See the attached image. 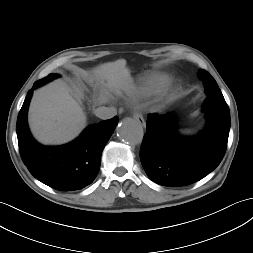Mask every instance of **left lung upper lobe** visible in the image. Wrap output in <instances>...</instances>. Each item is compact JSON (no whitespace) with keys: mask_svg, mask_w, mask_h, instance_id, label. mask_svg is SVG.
<instances>
[{"mask_svg":"<svg viewBox=\"0 0 253 253\" xmlns=\"http://www.w3.org/2000/svg\"><path fill=\"white\" fill-rule=\"evenodd\" d=\"M199 77L203 81L205 92L208 94V96H214V97H220V98L223 97L216 81L208 72L200 69Z\"/></svg>","mask_w":253,"mask_h":253,"instance_id":"5c2ea615","label":"left lung upper lobe"}]
</instances>
